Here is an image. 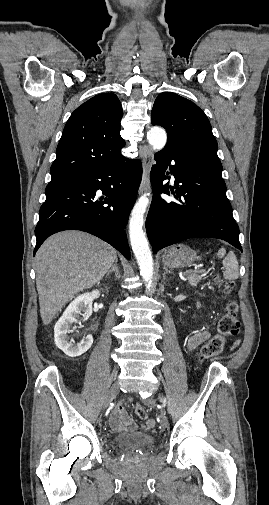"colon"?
<instances>
[{"instance_id": "5ec220e1", "label": "colon", "mask_w": 269, "mask_h": 505, "mask_svg": "<svg viewBox=\"0 0 269 505\" xmlns=\"http://www.w3.org/2000/svg\"><path fill=\"white\" fill-rule=\"evenodd\" d=\"M214 280L218 283L221 282L219 276H215ZM232 289V282L224 283V292L226 294H230ZM240 328L241 323L238 317L237 304L230 302L218 321L217 333L202 346L199 352V360L203 362L220 355L226 346L227 339L236 336ZM135 411L140 418H146L147 413L143 406L137 405Z\"/></svg>"}]
</instances>
